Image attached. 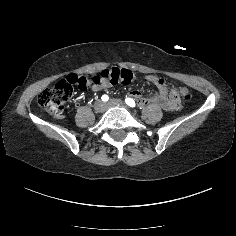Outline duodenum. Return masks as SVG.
I'll return each mask as SVG.
<instances>
[{
	"instance_id": "obj_1",
	"label": "duodenum",
	"mask_w": 236,
	"mask_h": 236,
	"mask_svg": "<svg viewBox=\"0 0 236 236\" xmlns=\"http://www.w3.org/2000/svg\"><path fill=\"white\" fill-rule=\"evenodd\" d=\"M151 103L160 104L166 110H176L179 108V104L174 96H168L166 94H160L151 98H142L139 101L141 106H146Z\"/></svg>"
}]
</instances>
